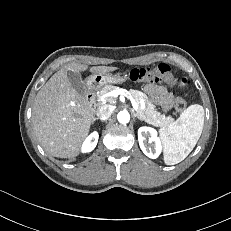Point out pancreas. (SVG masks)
Returning <instances> with one entry per match:
<instances>
[{"label":"pancreas","mask_w":231,"mask_h":231,"mask_svg":"<svg viewBox=\"0 0 231 231\" xmlns=\"http://www.w3.org/2000/svg\"><path fill=\"white\" fill-rule=\"evenodd\" d=\"M118 89L120 88L117 86L106 85L99 91L97 97L101 98L104 94ZM129 93L138 103L139 107L137 113L142 120L156 127H166L174 123V119L171 116H165L156 111L155 105L149 101L148 97L143 92L130 89ZM105 101L112 103L114 98H107ZM141 106H143V108Z\"/></svg>","instance_id":"pancreas-1"}]
</instances>
